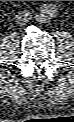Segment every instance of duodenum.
Instances as JSON below:
<instances>
[{"instance_id":"obj_1","label":"duodenum","mask_w":74,"mask_h":122,"mask_svg":"<svg viewBox=\"0 0 74 122\" xmlns=\"http://www.w3.org/2000/svg\"><path fill=\"white\" fill-rule=\"evenodd\" d=\"M39 18L43 19V18H45V16L44 15H39Z\"/></svg>"}]
</instances>
